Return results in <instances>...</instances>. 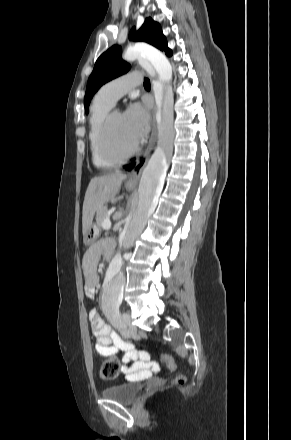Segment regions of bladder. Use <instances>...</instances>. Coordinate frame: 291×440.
Returning a JSON list of instances; mask_svg holds the SVG:
<instances>
[{
  "label": "bladder",
  "mask_w": 291,
  "mask_h": 440,
  "mask_svg": "<svg viewBox=\"0 0 291 440\" xmlns=\"http://www.w3.org/2000/svg\"><path fill=\"white\" fill-rule=\"evenodd\" d=\"M141 391V387L137 384L123 383L105 387L102 395L110 400L122 404L132 403Z\"/></svg>",
  "instance_id": "obj_1"
}]
</instances>
